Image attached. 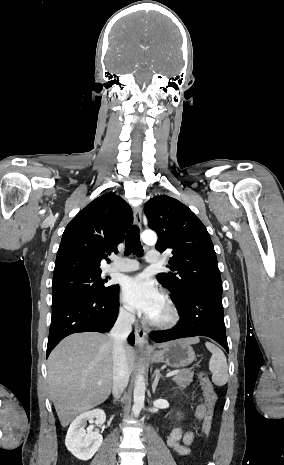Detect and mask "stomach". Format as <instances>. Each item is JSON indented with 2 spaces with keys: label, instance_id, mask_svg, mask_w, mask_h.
<instances>
[{
  "label": "stomach",
  "instance_id": "0dacf381",
  "mask_svg": "<svg viewBox=\"0 0 284 465\" xmlns=\"http://www.w3.org/2000/svg\"><path fill=\"white\" fill-rule=\"evenodd\" d=\"M152 363H164V365H170V367H188L193 361H195V353L184 341H170L166 343L162 351H153L152 355H148Z\"/></svg>",
  "mask_w": 284,
  "mask_h": 465
}]
</instances>
